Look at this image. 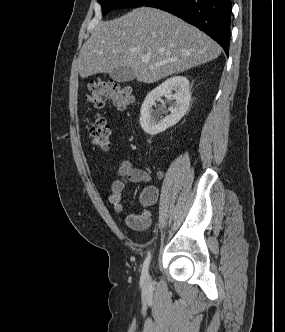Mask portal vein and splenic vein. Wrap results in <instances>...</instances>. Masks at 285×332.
Returning a JSON list of instances; mask_svg holds the SVG:
<instances>
[{
  "instance_id": "18ae733b",
  "label": "portal vein and splenic vein",
  "mask_w": 285,
  "mask_h": 332,
  "mask_svg": "<svg viewBox=\"0 0 285 332\" xmlns=\"http://www.w3.org/2000/svg\"><path fill=\"white\" fill-rule=\"evenodd\" d=\"M142 61L143 62H148L149 61V57L148 56H144L142 57ZM162 64H156L155 66H161Z\"/></svg>"
}]
</instances>
